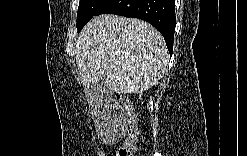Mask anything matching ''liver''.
<instances>
[{"mask_svg": "<svg viewBox=\"0 0 247 156\" xmlns=\"http://www.w3.org/2000/svg\"><path fill=\"white\" fill-rule=\"evenodd\" d=\"M76 62L85 87L102 82L116 93L141 94L162 77L169 60L164 38L149 23L107 14L81 31Z\"/></svg>", "mask_w": 247, "mask_h": 156, "instance_id": "1", "label": "liver"}]
</instances>
